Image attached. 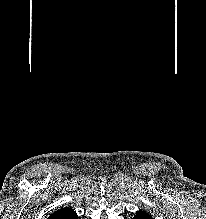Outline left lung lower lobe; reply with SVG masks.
I'll return each mask as SVG.
<instances>
[{
	"instance_id": "1",
	"label": "left lung lower lobe",
	"mask_w": 206,
	"mask_h": 219,
	"mask_svg": "<svg viewBox=\"0 0 206 219\" xmlns=\"http://www.w3.org/2000/svg\"><path fill=\"white\" fill-rule=\"evenodd\" d=\"M133 219H152V217L148 213L140 210L136 212Z\"/></svg>"
}]
</instances>
